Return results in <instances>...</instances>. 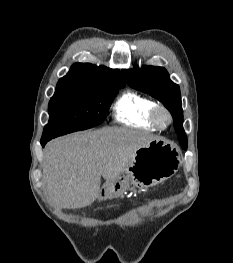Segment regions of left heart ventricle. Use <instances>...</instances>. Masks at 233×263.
<instances>
[{
  "label": "left heart ventricle",
  "mask_w": 233,
  "mask_h": 263,
  "mask_svg": "<svg viewBox=\"0 0 233 263\" xmlns=\"http://www.w3.org/2000/svg\"><path fill=\"white\" fill-rule=\"evenodd\" d=\"M162 120H163V122H165V121H166V118L163 116V117H162Z\"/></svg>",
  "instance_id": "1"
}]
</instances>
